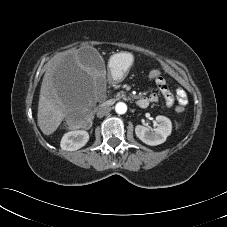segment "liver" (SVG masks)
I'll list each match as a JSON object with an SVG mask.
<instances>
[{"label":"liver","instance_id":"liver-1","mask_svg":"<svg viewBox=\"0 0 227 227\" xmlns=\"http://www.w3.org/2000/svg\"><path fill=\"white\" fill-rule=\"evenodd\" d=\"M96 76V72L80 62L77 49L59 53L47 63L37 113L38 126L45 135L56 131L70 113L83 85Z\"/></svg>","mask_w":227,"mask_h":227}]
</instances>
